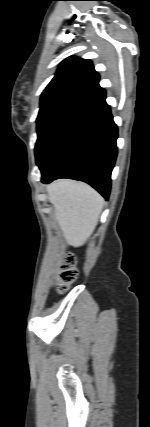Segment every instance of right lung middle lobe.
Segmentation results:
<instances>
[{"mask_svg": "<svg viewBox=\"0 0 150 427\" xmlns=\"http://www.w3.org/2000/svg\"><path fill=\"white\" fill-rule=\"evenodd\" d=\"M79 112V109L69 107H52L39 111L35 147L36 163L39 167L61 132Z\"/></svg>", "mask_w": 150, "mask_h": 427, "instance_id": "dd1d6c3e", "label": "right lung middle lobe"}]
</instances>
